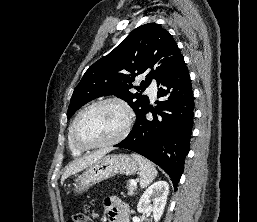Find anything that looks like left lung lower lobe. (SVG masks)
<instances>
[{"instance_id":"0a47b994","label":"left lung lower lobe","mask_w":257,"mask_h":222,"mask_svg":"<svg viewBox=\"0 0 257 222\" xmlns=\"http://www.w3.org/2000/svg\"><path fill=\"white\" fill-rule=\"evenodd\" d=\"M153 119L146 113L149 105L138 114L129 135L115 147L129 149L160 166L171 178L175 190L190 150L193 127L194 98L188 68L182 58L159 82Z\"/></svg>"}]
</instances>
